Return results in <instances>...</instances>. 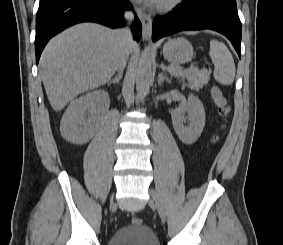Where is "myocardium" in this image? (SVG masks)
<instances>
[{
    "mask_svg": "<svg viewBox=\"0 0 283 245\" xmlns=\"http://www.w3.org/2000/svg\"><path fill=\"white\" fill-rule=\"evenodd\" d=\"M184 0H157L155 6L161 12H171L179 8Z\"/></svg>",
    "mask_w": 283,
    "mask_h": 245,
    "instance_id": "obj_1",
    "label": "myocardium"
}]
</instances>
